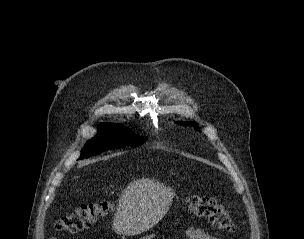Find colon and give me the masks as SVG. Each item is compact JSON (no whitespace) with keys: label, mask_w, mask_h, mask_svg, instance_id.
Returning <instances> with one entry per match:
<instances>
[{"label":"colon","mask_w":304,"mask_h":239,"mask_svg":"<svg viewBox=\"0 0 304 239\" xmlns=\"http://www.w3.org/2000/svg\"><path fill=\"white\" fill-rule=\"evenodd\" d=\"M112 208L113 203L109 201L81 204L59 218L56 228L65 233L81 231L104 218ZM186 210L192 215L207 218L215 230L227 233L234 231L229 211L213 197L188 196Z\"/></svg>","instance_id":"5ec220e1"}]
</instances>
